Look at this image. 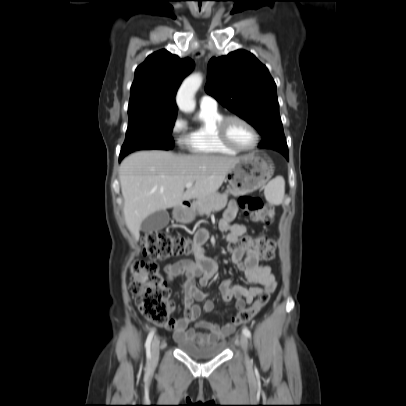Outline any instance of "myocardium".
I'll use <instances>...</instances> for the list:
<instances>
[{"mask_svg":"<svg viewBox=\"0 0 406 406\" xmlns=\"http://www.w3.org/2000/svg\"><path fill=\"white\" fill-rule=\"evenodd\" d=\"M232 120H237V121L243 123L252 131V133L255 137V141L251 147L242 148V147L237 146L230 140L228 131H227V127H228L229 122ZM217 133H218L219 140L225 146H227L228 148L233 149L237 152H248V151L254 150L258 146L259 140H260L259 133H258L257 129L255 128V126L249 120H247L246 118H244L240 115H237V114H230V115L223 116L217 125Z\"/></svg>","mask_w":406,"mask_h":406,"instance_id":"myocardium-1","label":"myocardium"}]
</instances>
